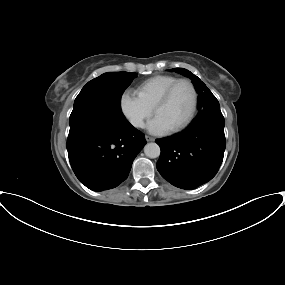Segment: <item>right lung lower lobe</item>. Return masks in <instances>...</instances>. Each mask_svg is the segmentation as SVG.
I'll return each mask as SVG.
<instances>
[{
  "label": "right lung lower lobe",
  "mask_w": 285,
  "mask_h": 285,
  "mask_svg": "<svg viewBox=\"0 0 285 285\" xmlns=\"http://www.w3.org/2000/svg\"><path fill=\"white\" fill-rule=\"evenodd\" d=\"M146 144L144 134L127 120L88 115L70 124L67 151L72 169L90 190L117 187Z\"/></svg>",
  "instance_id": "right-lung-lower-lobe-1"
}]
</instances>
